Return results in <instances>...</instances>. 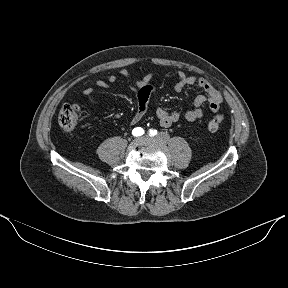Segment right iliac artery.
Segmentation results:
<instances>
[{
  "mask_svg": "<svg viewBox=\"0 0 288 288\" xmlns=\"http://www.w3.org/2000/svg\"><path fill=\"white\" fill-rule=\"evenodd\" d=\"M144 133V130L141 127L134 128L132 134L134 136H141Z\"/></svg>",
  "mask_w": 288,
  "mask_h": 288,
  "instance_id": "1",
  "label": "right iliac artery"
}]
</instances>
